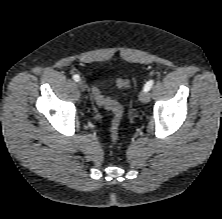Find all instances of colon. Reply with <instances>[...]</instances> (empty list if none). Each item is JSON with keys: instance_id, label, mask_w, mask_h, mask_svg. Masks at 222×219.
Segmentation results:
<instances>
[{"instance_id": "obj_1", "label": "colon", "mask_w": 222, "mask_h": 219, "mask_svg": "<svg viewBox=\"0 0 222 219\" xmlns=\"http://www.w3.org/2000/svg\"><path fill=\"white\" fill-rule=\"evenodd\" d=\"M130 81L128 79H118L116 80V85L119 88L128 86ZM95 99L98 105L111 111L113 118L110 126V135L113 141H116L119 134V127L122 118V107L121 105L112 99L104 97L98 90L94 91Z\"/></svg>"}]
</instances>
